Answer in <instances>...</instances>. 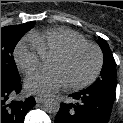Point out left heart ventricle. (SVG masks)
Returning a JSON list of instances; mask_svg holds the SVG:
<instances>
[{
	"label": "left heart ventricle",
	"instance_id": "1",
	"mask_svg": "<svg viewBox=\"0 0 123 123\" xmlns=\"http://www.w3.org/2000/svg\"><path fill=\"white\" fill-rule=\"evenodd\" d=\"M97 55L91 48H83L68 58L53 56L49 66L64 75L67 84L80 83L88 79L94 72Z\"/></svg>",
	"mask_w": 123,
	"mask_h": 123
}]
</instances>
